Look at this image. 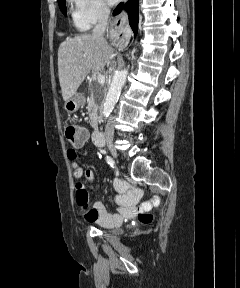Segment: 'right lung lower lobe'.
I'll return each mask as SVG.
<instances>
[{
    "label": "right lung lower lobe",
    "mask_w": 240,
    "mask_h": 288,
    "mask_svg": "<svg viewBox=\"0 0 240 288\" xmlns=\"http://www.w3.org/2000/svg\"><path fill=\"white\" fill-rule=\"evenodd\" d=\"M123 8V3H120L116 9L114 10L113 14L117 15L121 12ZM124 9L128 12L129 15V24L134 31V34H137L138 31V0H129Z\"/></svg>",
    "instance_id": "right-lung-lower-lobe-1"
}]
</instances>
